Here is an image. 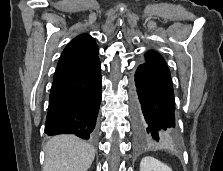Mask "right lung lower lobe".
<instances>
[{"label": "right lung lower lobe", "instance_id": "obj_1", "mask_svg": "<svg viewBox=\"0 0 223 171\" xmlns=\"http://www.w3.org/2000/svg\"><path fill=\"white\" fill-rule=\"evenodd\" d=\"M100 103L101 65L98 59L87 67L54 78L45 133L75 134L93 141Z\"/></svg>", "mask_w": 223, "mask_h": 171}]
</instances>
